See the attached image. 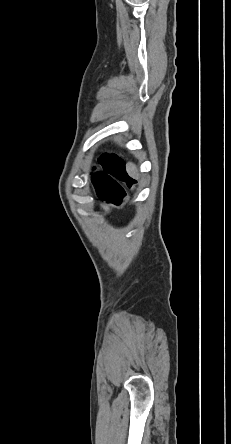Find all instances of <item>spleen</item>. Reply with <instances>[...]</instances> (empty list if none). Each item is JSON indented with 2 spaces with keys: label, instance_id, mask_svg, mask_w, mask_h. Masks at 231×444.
<instances>
[{
  "label": "spleen",
  "instance_id": "1",
  "mask_svg": "<svg viewBox=\"0 0 231 444\" xmlns=\"http://www.w3.org/2000/svg\"><path fill=\"white\" fill-rule=\"evenodd\" d=\"M126 170L131 177H133L135 179H139L138 170H137V167L135 166V164H133L132 162H129L126 166Z\"/></svg>",
  "mask_w": 231,
  "mask_h": 444
}]
</instances>
